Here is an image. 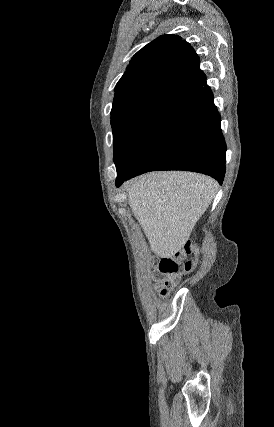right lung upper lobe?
I'll use <instances>...</instances> for the list:
<instances>
[{
  "mask_svg": "<svg viewBox=\"0 0 274 427\" xmlns=\"http://www.w3.org/2000/svg\"><path fill=\"white\" fill-rule=\"evenodd\" d=\"M204 86L206 76L190 44L178 35H163L133 56L115 87L112 109L153 95L177 103Z\"/></svg>",
  "mask_w": 274,
  "mask_h": 427,
  "instance_id": "1",
  "label": "right lung upper lobe"
}]
</instances>
